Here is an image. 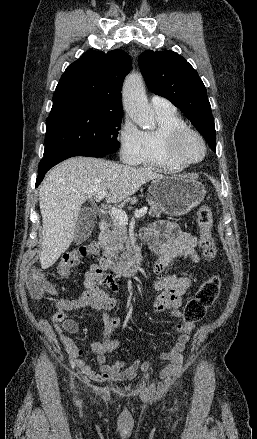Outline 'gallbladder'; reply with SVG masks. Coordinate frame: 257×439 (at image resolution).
<instances>
[{"label": "gallbladder", "mask_w": 257, "mask_h": 439, "mask_svg": "<svg viewBox=\"0 0 257 439\" xmlns=\"http://www.w3.org/2000/svg\"><path fill=\"white\" fill-rule=\"evenodd\" d=\"M96 223L95 213L89 209L80 212L75 229V242L80 244L92 232Z\"/></svg>", "instance_id": "1"}]
</instances>
